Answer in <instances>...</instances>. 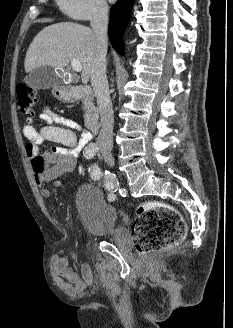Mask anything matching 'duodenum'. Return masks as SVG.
<instances>
[{
  "label": "duodenum",
  "instance_id": "1",
  "mask_svg": "<svg viewBox=\"0 0 233 328\" xmlns=\"http://www.w3.org/2000/svg\"><path fill=\"white\" fill-rule=\"evenodd\" d=\"M60 95L66 101H76L83 98L92 97V89L87 85L70 86L61 89ZM86 125L91 132H96L99 128V117L96 110L91 109L85 116Z\"/></svg>",
  "mask_w": 233,
  "mask_h": 328
}]
</instances>
